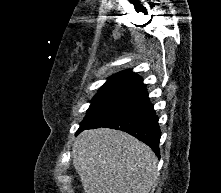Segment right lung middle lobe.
Wrapping results in <instances>:
<instances>
[{
	"instance_id": "right-lung-middle-lobe-1",
	"label": "right lung middle lobe",
	"mask_w": 221,
	"mask_h": 193,
	"mask_svg": "<svg viewBox=\"0 0 221 193\" xmlns=\"http://www.w3.org/2000/svg\"><path fill=\"white\" fill-rule=\"evenodd\" d=\"M145 88L123 84L106 85L94 96L81 125L103 118L137 98Z\"/></svg>"
}]
</instances>
